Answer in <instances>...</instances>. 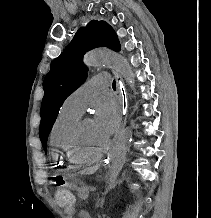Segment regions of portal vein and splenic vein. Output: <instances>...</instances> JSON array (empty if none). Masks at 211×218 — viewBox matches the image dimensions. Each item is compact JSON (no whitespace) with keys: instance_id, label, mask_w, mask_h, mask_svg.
Segmentation results:
<instances>
[{"instance_id":"portal-vein-and-splenic-vein-1","label":"portal vein and splenic vein","mask_w":211,"mask_h":218,"mask_svg":"<svg viewBox=\"0 0 211 218\" xmlns=\"http://www.w3.org/2000/svg\"><path fill=\"white\" fill-rule=\"evenodd\" d=\"M87 190H90V191H96L97 189H96V187L95 186H91V188L90 189H87Z\"/></svg>"}]
</instances>
